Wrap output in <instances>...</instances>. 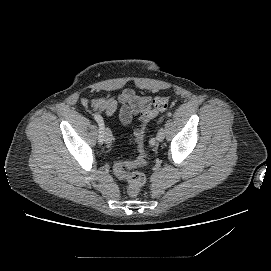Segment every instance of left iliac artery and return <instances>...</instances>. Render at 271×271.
<instances>
[{"mask_svg":"<svg viewBox=\"0 0 271 271\" xmlns=\"http://www.w3.org/2000/svg\"><path fill=\"white\" fill-rule=\"evenodd\" d=\"M162 119H163V117H161V118L159 119L158 123H160V122L162 121ZM155 143H156L155 138H152V139L150 140V145H155Z\"/></svg>","mask_w":271,"mask_h":271,"instance_id":"1","label":"left iliac artery"}]
</instances>
